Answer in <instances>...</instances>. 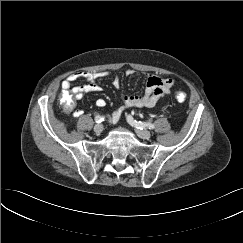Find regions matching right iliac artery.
I'll return each instance as SVG.
<instances>
[{
	"instance_id": "1",
	"label": "right iliac artery",
	"mask_w": 243,
	"mask_h": 243,
	"mask_svg": "<svg viewBox=\"0 0 243 243\" xmlns=\"http://www.w3.org/2000/svg\"><path fill=\"white\" fill-rule=\"evenodd\" d=\"M102 121H104V117H103V116L97 115V116L95 117V122H97V123H101Z\"/></svg>"
}]
</instances>
